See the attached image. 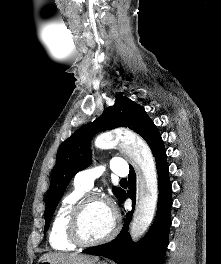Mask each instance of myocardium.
Here are the masks:
<instances>
[{"label": "myocardium", "mask_w": 221, "mask_h": 264, "mask_svg": "<svg viewBox=\"0 0 221 264\" xmlns=\"http://www.w3.org/2000/svg\"><path fill=\"white\" fill-rule=\"evenodd\" d=\"M90 202H101L106 204L113 216L112 220V226L110 231L102 238L97 239V240H87L83 237L82 232H81V218L83 211L87 204ZM119 228V222H118V216L116 212L112 209L110 206L109 202L96 194H85L83 195L71 208L68 220H67V234L69 239L78 246L82 247H92V246H97L104 244L111 239L114 238V236L117 234Z\"/></svg>", "instance_id": "obj_1"}]
</instances>
